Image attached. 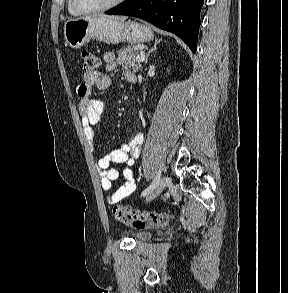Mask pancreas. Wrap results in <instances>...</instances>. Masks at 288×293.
<instances>
[{"label": "pancreas", "instance_id": "pancreas-1", "mask_svg": "<svg viewBox=\"0 0 288 293\" xmlns=\"http://www.w3.org/2000/svg\"><path fill=\"white\" fill-rule=\"evenodd\" d=\"M139 55V47L131 45L123 47L118 51L117 63L126 68H131L133 71L142 69L141 62H138L136 57Z\"/></svg>", "mask_w": 288, "mask_h": 293}]
</instances>
